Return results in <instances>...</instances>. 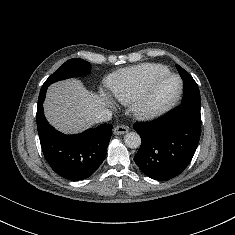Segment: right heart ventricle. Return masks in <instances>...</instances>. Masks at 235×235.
<instances>
[{
  "instance_id": "e07e8e85",
  "label": "right heart ventricle",
  "mask_w": 235,
  "mask_h": 235,
  "mask_svg": "<svg viewBox=\"0 0 235 235\" xmlns=\"http://www.w3.org/2000/svg\"><path fill=\"white\" fill-rule=\"evenodd\" d=\"M168 72L160 64L143 63L117 71L108 82L112 97L121 104H131L154 76Z\"/></svg>"
}]
</instances>
